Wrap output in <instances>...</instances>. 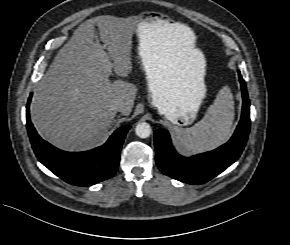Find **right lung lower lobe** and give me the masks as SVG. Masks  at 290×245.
<instances>
[{
	"instance_id": "98d812e1",
	"label": "right lung lower lobe",
	"mask_w": 290,
	"mask_h": 245,
	"mask_svg": "<svg viewBox=\"0 0 290 245\" xmlns=\"http://www.w3.org/2000/svg\"><path fill=\"white\" fill-rule=\"evenodd\" d=\"M32 95L28 98L27 131L38 160L55 175L69 184L89 186L111 178L117 171L120 149L126 133V125L117 129L108 141L86 152H65L44 141L36 132L29 113Z\"/></svg>"
}]
</instances>
